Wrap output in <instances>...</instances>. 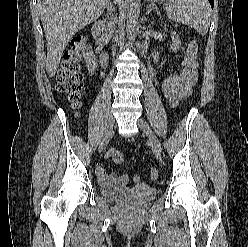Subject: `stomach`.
<instances>
[{"mask_svg":"<svg viewBox=\"0 0 248 247\" xmlns=\"http://www.w3.org/2000/svg\"><path fill=\"white\" fill-rule=\"evenodd\" d=\"M147 1H149V2H156V1H158V0H147Z\"/></svg>","mask_w":248,"mask_h":247,"instance_id":"stomach-1","label":"stomach"}]
</instances>
